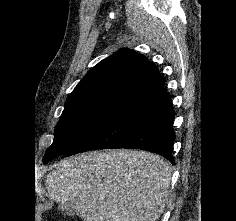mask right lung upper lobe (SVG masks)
<instances>
[{
  "mask_svg": "<svg viewBox=\"0 0 236 221\" xmlns=\"http://www.w3.org/2000/svg\"><path fill=\"white\" fill-rule=\"evenodd\" d=\"M160 79L157 68L145 56L124 48L90 69L66 102L95 92L137 93Z\"/></svg>",
  "mask_w": 236,
  "mask_h": 221,
  "instance_id": "right-lung-upper-lobe-1",
  "label": "right lung upper lobe"
}]
</instances>
